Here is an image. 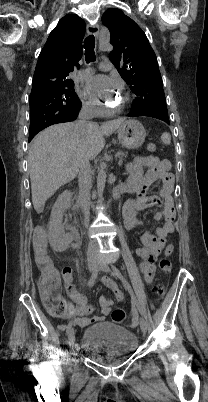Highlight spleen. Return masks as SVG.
<instances>
[{
	"instance_id": "obj_1",
	"label": "spleen",
	"mask_w": 208,
	"mask_h": 402,
	"mask_svg": "<svg viewBox=\"0 0 208 402\" xmlns=\"http://www.w3.org/2000/svg\"><path fill=\"white\" fill-rule=\"evenodd\" d=\"M161 140H162L163 144H166V146H169V144H171L170 134H168V132H164V134H162V136H161Z\"/></svg>"
}]
</instances>
